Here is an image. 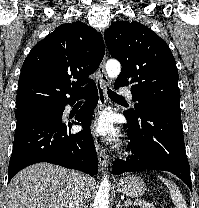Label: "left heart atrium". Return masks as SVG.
<instances>
[{"instance_id": "obj_1", "label": "left heart atrium", "mask_w": 199, "mask_h": 208, "mask_svg": "<svg viewBox=\"0 0 199 208\" xmlns=\"http://www.w3.org/2000/svg\"><path fill=\"white\" fill-rule=\"evenodd\" d=\"M88 128L99 136H114L115 131L105 116H97L89 125Z\"/></svg>"}]
</instances>
